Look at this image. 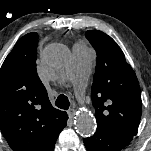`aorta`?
<instances>
[{"label": "aorta", "mask_w": 151, "mask_h": 151, "mask_svg": "<svg viewBox=\"0 0 151 151\" xmlns=\"http://www.w3.org/2000/svg\"><path fill=\"white\" fill-rule=\"evenodd\" d=\"M44 59L51 68L60 69L68 62L69 52L65 46L53 44L46 49ZM96 127V120L90 113L83 111L78 113L76 129L81 135L88 136L92 134Z\"/></svg>", "instance_id": "aorta-1"}]
</instances>
